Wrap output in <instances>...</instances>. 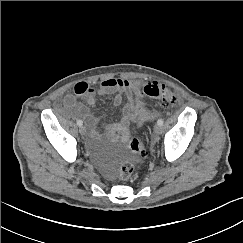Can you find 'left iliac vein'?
Returning <instances> with one entry per match:
<instances>
[{"instance_id": "4c4485c4", "label": "left iliac vein", "mask_w": 243, "mask_h": 243, "mask_svg": "<svg viewBox=\"0 0 243 243\" xmlns=\"http://www.w3.org/2000/svg\"><path fill=\"white\" fill-rule=\"evenodd\" d=\"M154 132L156 134L155 139L158 138V135L162 132V127L158 124L154 126Z\"/></svg>"}]
</instances>
